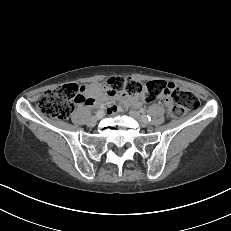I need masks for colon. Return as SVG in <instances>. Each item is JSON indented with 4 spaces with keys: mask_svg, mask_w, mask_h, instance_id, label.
Here are the masks:
<instances>
[{
    "mask_svg": "<svg viewBox=\"0 0 231 231\" xmlns=\"http://www.w3.org/2000/svg\"><path fill=\"white\" fill-rule=\"evenodd\" d=\"M109 90L126 96L143 94L145 102H152L165 95L167 115L170 118H180L187 111H195L199 108L197 97L180 89L173 83L165 81L148 82L145 86L137 81L122 77H113L108 80ZM84 97L76 84H66L60 88L43 93L37 101V109L42 114L57 120L69 117L73 110L74 102H81Z\"/></svg>",
    "mask_w": 231,
    "mask_h": 231,
    "instance_id": "5ec220e1",
    "label": "colon"
}]
</instances>
